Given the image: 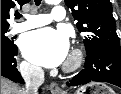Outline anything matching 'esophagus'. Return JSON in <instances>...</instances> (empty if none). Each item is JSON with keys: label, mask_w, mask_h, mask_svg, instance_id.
Segmentation results:
<instances>
[{"label": "esophagus", "mask_w": 121, "mask_h": 94, "mask_svg": "<svg viewBox=\"0 0 121 94\" xmlns=\"http://www.w3.org/2000/svg\"><path fill=\"white\" fill-rule=\"evenodd\" d=\"M49 89L52 94H63L62 89L59 87V85L56 82L50 83Z\"/></svg>", "instance_id": "obj_1"}]
</instances>
